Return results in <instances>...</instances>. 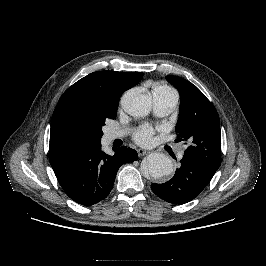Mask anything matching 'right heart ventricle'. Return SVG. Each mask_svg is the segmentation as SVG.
Returning <instances> with one entry per match:
<instances>
[{"instance_id":"obj_1","label":"right heart ventricle","mask_w":266,"mask_h":266,"mask_svg":"<svg viewBox=\"0 0 266 266\" xmlns=\"http://www.w3.org/2000/svg\"><path fill=\"white\" fill-rule=\"evenodd\" d=\"M154 90H167V91H173L171 88L167 87V86H158L156 87ZM153 90V91H154Z\"/></svg>"}]
</instances>
